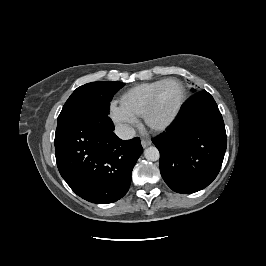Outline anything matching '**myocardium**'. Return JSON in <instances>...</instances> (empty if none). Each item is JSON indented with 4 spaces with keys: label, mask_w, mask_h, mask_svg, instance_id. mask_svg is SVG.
I'll use <instances>...</instances> for the list:
<instances>
[{
    "label": "myocardium",
    "mask_w": 266,
    "mask_h": 266,
    "mask_svg": "<svg viewBox=\"0 0 266 266\" xmlns=\"http://www.w3.org/2000/svg\"><path fill=\"white\" fill-rule=\"evenodd\" d=\"M170 82H176L180 88H181V99H180V102L176 108V110L174 111V113L164 122V123H161V124H155L152 122L151 120V114L155 108V105H156V101H157V98H158V95L161 91V89L168 83ZM186 99H187V90H186V87L184 85V83L178 79V78H175V77H171V78H167L165 79L156 89L155 91L153 92L145 110H144V113H143V119H144V122L146 123V125L154 130V131H164L166 129H168L175 121L176 119L178 118V116L180 115L184 105H185V102H186Z\"/></svg>",
    "instance_id": "obj_1"
}]
</instances>
